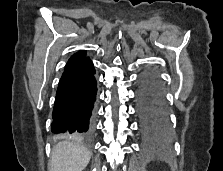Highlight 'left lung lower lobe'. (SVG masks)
<instances>
[{"instance_id": "obj_1", "label": "left lung lower lobe", "mask_w": 223, "mask_h": 171, "mask_svg": "<svg viewBox=\"0 0 223 171\" xmlns=\"http://www.w3.org/2000/svg\"><path fill=\"white\" fill-rule=\"evenodd\" d=\"M136 112L140 134L146 143H161L169 139L171 130L162 91L152 72L144 73L138 80Z\"/></svg>"}]
</instances>
